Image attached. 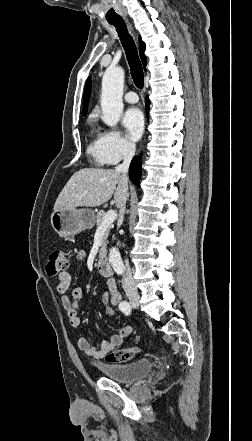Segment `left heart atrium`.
Returning <instances> with one entry per match:
<instances>
[{
	"label": "left heart atrium",
	"mask_w": 252,
	"mask_h": 441,
	"mask_svg": "<svg viewBox=\"0 0 252 441\" xmlns=\"http://www.w3.org/2000/svg\"><path fill=\"white\" fill-rule=\"evenodd\" d=\"M123 126L130 140L136 141L140 138L144 130V117L137 108H131L123 115Z\"/></svg>",
	"instance_id": "1"
}]
</instances>
